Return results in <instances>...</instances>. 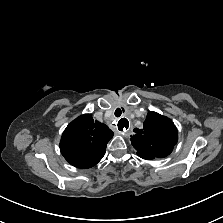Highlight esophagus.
I'll return each mask as SVG.
<instances>
[{"label":"esophagus","mask_w":223,"mask_h":223,"mask_svg":"<svg viewBox=\"0 0 223 223\" xmlns=\"http://www.w3.org/2000/svg\"><path fill=\"white\" fill-rule=\"evenodd\" d=\"M118 130L120 133H122L123 135H127V133L130 132L131 130V125L128 122V120L126 118H122L119 122H118Z\"/></svg>","instance_id":"obj_1"}]
</instances>
